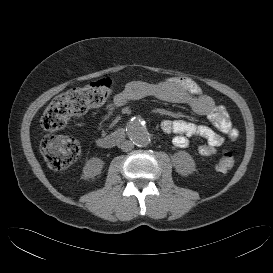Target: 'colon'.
I'll use <instances>...</instances> for the list:
<instances>
[{
	"label": "colon",
	"instance_id": "colon-1",
	"mask_svg": "<svg viewBox=\"0 0 273 273\" xmlns=\"http://www.w3.org/2000/svg\"><path fill=\"white\" fill-rule=\"evenodd\" d=\"M115 84L102 79L83 88H77L55 98L44 110L41 125L48 131L65 127L71 117L82 115L89 109L105 104L114 94ZM41 153L47 165L53 170L71 166L80 155L79 143L68 136H49L41 142ZM232 152H223L217 160V169L227 171L234 166Z\"/></svg>",
	"mask_w": 273,
	"mask_h": 273
}]
</instances>
